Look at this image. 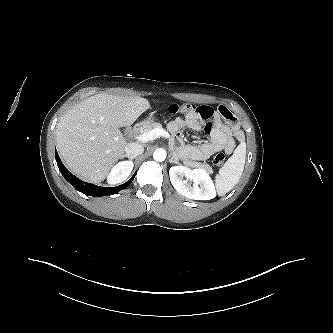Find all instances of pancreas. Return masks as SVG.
Masks as SVG:
<instances>
[{
    "instance_id": "cf45deb5",
    "label": "pancreas",
    "mask_w": 333,
    "mask_h": 333,
    "mask_svg": "<svg viewBox=\"0 0 333 333\" xmlns=\"http://www.w3.org/2000/svg\"><path fill=\"white\" fill-rule=\"evenodd\" d=\"M155 128H162V125L157 122H153L150 124H147L146 126L142 127V133H147ZM172 142L174 141L173 139L171 140ZM186 166H190L193 168H204L208 171H212V168L208 164L200 163V162H184Z\"/></svg>"
}]
</instances>
